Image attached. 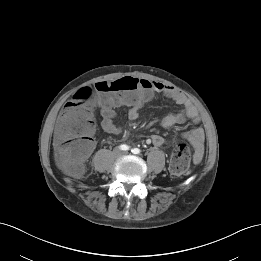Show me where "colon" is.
Listing matches in <instances>:
<instances>
[{
  "mask_svg": "<svg viewBox=\"0 0 261 261\" xmlns=\"http://www.w3.org/2000/svg\"><path fill=\"white\" fill-rule=\"evenodd\" d=\"M155 83L134 77H124L113 82H97L93 87L80 88L73 96L77 103H93L96 94L105 100L135 101L140 96L148 97ZM88 110L81 113L72 111L68 114L65 129L68 135L61 139V147L57 155L58 165L69 175L78 177L83 172V159L89 149L91 139L86 133ZM192 160L190 147L179 143L170 159V170L180 176L188 172Z\"/></svg>",
  "mask_w": 261,
  "mask_h": 261,
  "instance_id": "obj_1",
  "label": "colon"
}]
</instances>
